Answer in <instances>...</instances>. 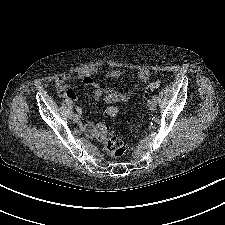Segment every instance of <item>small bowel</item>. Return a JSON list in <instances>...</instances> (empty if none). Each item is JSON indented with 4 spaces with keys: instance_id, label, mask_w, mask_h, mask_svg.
Instances as JSON below:
<instances>
[{
    "instance_id": "small-bowel-1",
    "label": "small bowel",
    "mask_w": 225,
    "mask_h": 225,
    "mask_svg": "<svg viewBox=\"0 0 225 225\" xmlns=\"http://www.w3.org/2000/svg\"><path fill=\"white\" fill-rule=\"evenodd\" d=\"M124 74L123 70L113 69V70H99L92 69L88 71L81 72L78 77L81 79L82 83L86 86H90L94 89V98L99 100L105 95L106 103L110 104L113 102H127L129 101L140 89L141 85L144 84L149 76L150 72L146 69H140L136 72V83L127 91L119 92L113 89L104 90L99 84L93 80L94 75L104 76L106 78L117 79ZM70 75H63L55 80V87L60 91L62 96H65L75 102L78 98L76 93L70 88L68 82L70 81ZM94 125L92 123H87L84 125V131L88 134L92 133Z\"/></svg>"
}]
</instances>
